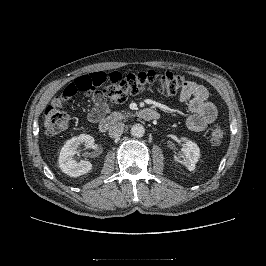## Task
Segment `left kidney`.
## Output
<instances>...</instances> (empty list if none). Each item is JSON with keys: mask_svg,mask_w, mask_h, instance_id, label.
I'll return each mask as SVG.
<instances>
[{"mask_svg": "<svg viewBox=\"0 0 266 266\" xmlns=\"http://www.w3.org/2000/svg\"><path fill=\"white\" fill-rule=\"evenodd\" d=\"M181 140L184 142L183 151L185 153V159L182 160L181 163L186 166L189 171H193L200 158V149L195 142L187 138H181Z\"/></svg>", "mask_w": 266, "mask_h": 266, "instance_id": "1", "label": "left kidney"}]
</instances>
